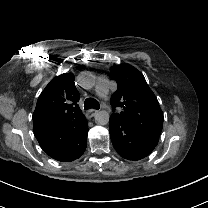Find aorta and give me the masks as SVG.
<instances>
[{
	"label": "aorta",
	"instance_id": "aorta-1",
	"mask_svg": "<svg viewBox=\"0 0 208 208\" xmlns=\"http://www.w3.org/2000/svg\"><path fill=\"white\" fill-rule=\"evenodd\" d=\"M95 122L98 124V125H106L108 124L109 122V113L105 110H101V111H97L95 113Z\"/></svg>",
	"mask_w": 208,
	"mask_h": 208
}]
</instances>
